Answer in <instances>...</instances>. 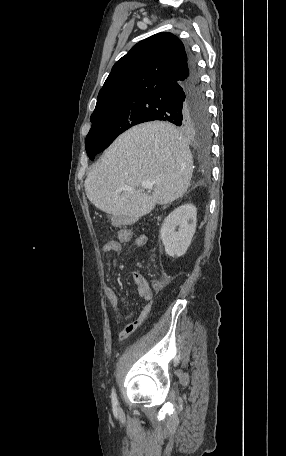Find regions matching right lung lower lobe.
<instances>
[{"label": "right lung lower lobe", "mask_w": 286, "mask_h": 456, "mask_svg": "<svg viewBox=\"0 0 286 456\" xmlns=\"http://www.w3.org/2000/svg\"><path fill=\"white\" fill-rule=\"evenodd\" d=\"M143 106V122L162 120L186 131L208 115L205 93L200 83L197 64L188 53L187 76L138 95Z\"/></svg>", "instance_id": "right-lung-lower-lobe-1"}]
</instances>
